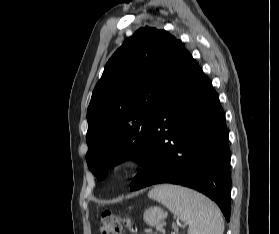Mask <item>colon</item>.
I'll list each match as a JSON object with an SVG mask.
<instances>
[{
	"label": "colon",
	"mask_w": 279,
	"mask_h": 234,
	"mask_svg": "<svg viewBox=\"0 0 279 234\" xmlns=\"http://www.w3.org/2000/svg\"><path fill=\"white\" fill-rule=\"evenodd\" d=\"M129 225V219L117 217L108 211L101 216V234H121L123 228Z\"/></svg>",
	"instance_id": "1"
}]
</instances>
